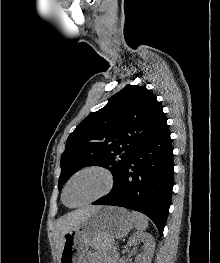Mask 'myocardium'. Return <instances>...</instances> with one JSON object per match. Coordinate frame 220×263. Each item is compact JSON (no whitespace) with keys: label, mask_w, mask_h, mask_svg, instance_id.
<instances>
[{"label":"myocardium","mask_w":220,"mask_h":263,"mask_svg":"<svg viewBox=\"0 0 220 263\" xmlns=\"http://www.w3.org/2000/svg\"><path fill=\"white\" fill-rule=\"evenodd\" d=\"M86 172H97V173H100L101 175H103L104 178H105V187L103 188V190L100 193L96 194L95 196H93L91 198H88L87 200H84V201H82L80 203H77V204H74V205L67 204L66 200H65V196H66V192H67V190L69 188V185L71 184V182L77 176H79V175H81L83 173H86ZM114 184H115L114 174L107 167H104V166H101V165L85 166V167L77 170L76 172H74L69 177L67 182L65 183L64 188H63V192H62V201H63V203L66 206L71 207V208L87 205V204L93 203L95 201H98L99 199H101V198L105 197L106 195H108L112 191V189L114 187Z\"/></svg>","instance_id":"obj_1"}]
</instances>
